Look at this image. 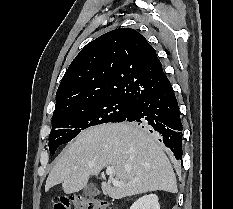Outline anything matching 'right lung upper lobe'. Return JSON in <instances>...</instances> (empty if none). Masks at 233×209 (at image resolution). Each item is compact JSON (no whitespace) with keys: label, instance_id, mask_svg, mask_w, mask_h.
Masks as SVG:
<instances>
[{"label":"right lung upper lobe","instance_id":"1","mask_svg":"<svg viewBox=\"0 0 233 209\" xmlns=\"http://www.w3.org/2000/svg\"><path fill=\"white\" fill-rule=\"evenodd\" d=\"M168 82L155 49L139 32L119 28L88 43L65 72L54 115L107 98L135 102Z\"/></svg>","mask_w":233,"mask_h":209}]
</instances>
